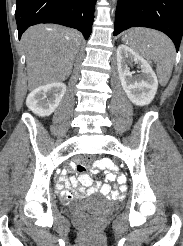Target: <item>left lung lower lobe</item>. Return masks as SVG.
I'll use <instances>...</instances> for the list:
<instances>
[{
    "instance_id": "left-lung-lower-lobe-1",
    "label": "left lung lower lobe",
    "mask_w": 183,
    "mask_h": 246,
    "mask_svg": "<svg viewBox=\"0 0 183 246\" xmlns=\"http://www.w3.org/2000/svg\"><path fill=\"white\" fill-rule=\"evenodd\" d=\"M130 27L162 31L178 51L183 34V0H118L114 35Z\"/></svg>"
}]
</instances>
